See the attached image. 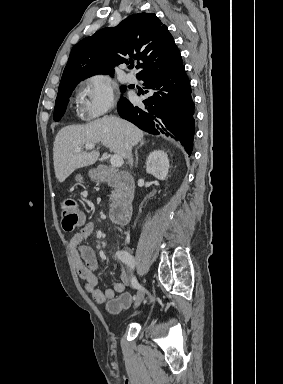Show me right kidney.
I'll use <instances>...</instances> for the list:
<instances>
[{"label": "right kidney", "instance_id": "obj_1", "mask_svg": "<svg viewBox=\"0 0 283 384\" xmlns=\"http://www.w3.org/2000/svg\"><path fill=\"white\" fill-rule=\"evenodd\" d=\"M169 168L168 156L163 150H154V152L149 154L146 162L147 174H151V176L158 178V180H166Z\"/></svg>", "mask_w": 283, "mask_h": 384}]
</instances>
